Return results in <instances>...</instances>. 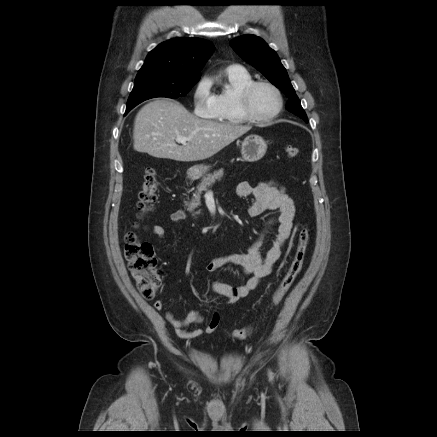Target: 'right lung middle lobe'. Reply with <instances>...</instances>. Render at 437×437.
<instances>
[{"label":"right lung middle lobe","instance_id":"right-lung-middle-lobe-1","mask_svg":"<svg viewBox=\"0 0 437 437\" xmlns=\"http://www.w3.org/2000/svg\"><path fill=\"white\" fill-rule=\"evenodd\" d=\"M199 79V77H179L162 70L139 72L127 101L125 115L136 105L150 98L183 97Z\"/></svg>","mask_w":437,"mask_h":437}]
</instances>
